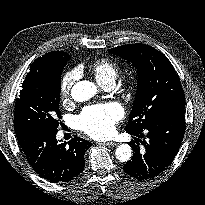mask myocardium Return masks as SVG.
<instances>
[{"label": "myocardium", "instance_id": "obj_1", "mask_svg": "<svg viewBox=\"0 0 205 205\" xmlns=\"http://www.w3.org/2000/svg\"><path fill=\"white\" fill-rule=\"evenodd\" d=\"M133 84H134V78L130 77L128 79V81L126 82V87L129 88V87L133 86Z\"/></svg>", "mask_w": 205, "mask_h": 205}]
</instances>
